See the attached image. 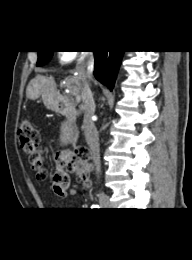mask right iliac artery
Instances as JSON below:
<instances>
[{"mask_svg": "<svg viewBox=\"0 0 192 260\" xmlns=\"http://www.w3.org/2000/svg\"><path fill=\"white\" fill-rule=\"evenodd\" d=\"M92 208L98 209L99 206L98 205H93Z\"/></svg>", "mask_w": 192, "mask_h": 260, "instance_id": "right-iliac-artery-1", "label": "right iliac artery"}]
</instances>
